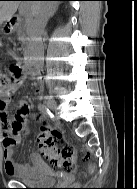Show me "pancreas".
Wrapping results in <instances>:
<instances>
[{"instance_id": "cf45deb5", "label": "pancreas", "mask_w": 137, "mask_h": 189, "mask_svg": "<svg viewBox=\"0 0 137 189\" xmlns=\"http://www.w3.org/2000/svg\"><path fill=\"white\" fill-rule=\"evenodd\" d=\"M18 39H19L20 41H22L23 43H26V41H27L25 35L22 34V33H19V37H18Z\"/></svg>"}]
</instances>
